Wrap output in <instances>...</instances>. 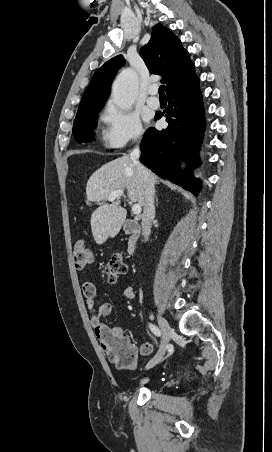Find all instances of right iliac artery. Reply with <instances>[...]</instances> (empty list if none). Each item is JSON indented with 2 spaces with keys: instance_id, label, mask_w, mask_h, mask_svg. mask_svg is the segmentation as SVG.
<instances>
[{
  "instance_id": "1",
  "label": "right iliac artery",
  "mask_w": 272,
  "mask_h": 452,
  "mask_svg": "<svg viewBox=\"0 0 272 452\" xmlns=\"http://www.w3.org/2000/svg\"><path fill=\"white\" fill-rule=\"evenodd\" d=\"M150 330L152 331L153 334H155L156 336L160 337L161 336V331L160 329L154 325V324H149Z\"/></svg>"
}]
</instances>
